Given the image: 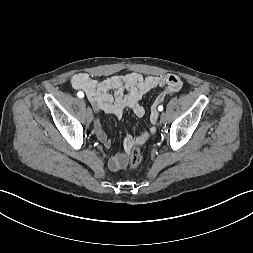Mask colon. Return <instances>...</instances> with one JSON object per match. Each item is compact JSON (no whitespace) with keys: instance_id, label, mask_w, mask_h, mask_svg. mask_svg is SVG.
Returning <instances> with one entry per match:
<instances>
[{"instance_id":"obj_1","label":"colon","mask_w":253,"mask_h":253,"mask_svg":"<svg viewBox=\"0 0 253 253\" xmlns=\"http://www.w3.org/2000/svg\"><path fill=\"white\" fill-rule=\"evenodd\" d=\"M142 161V153H141V149L138 146H135L131 153H130V157H129V166L132 169L137 168L140 163Z\"/></svg>"}]
</instances>
